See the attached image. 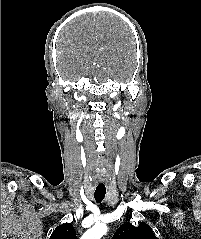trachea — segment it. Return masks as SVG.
Masks as SVG:
<instances>
[{"label":"trachea","mask_w":201,"mask_h":239,"mask_svg":"<svg viewBox=\"0 0 201 239\" xmlns=\"http://www.w3.org/2000/svg\"><path fill=\"white\" fill-rule=\"evenodd\" d=\"M105 194H106L105 186H97L94 193L96 202L98 203L102 202L105 197Z\"/></svg>","instance_id":"1"}]
</instances>
